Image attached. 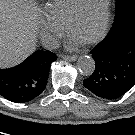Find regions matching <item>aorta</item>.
Returning <instances> with one entry per match:
<instances>
[{"mask_svg": "<svg viewBox=\"0 0 135 135\" xmlns=\"http://www.w3.org/2000/svg\"><path fill=\"white\" fill-rule=\"evenodd\" d=\"M78 69L85 76H90L95 70V61L90 56H80L77 61Z\"/></svg>", "mask_w": 135, "mask_h": 135, "instance_id": "1", "label": "aorta"}]
</instances>
